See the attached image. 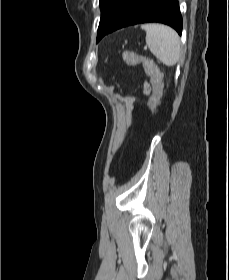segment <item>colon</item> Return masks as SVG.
<instances>
[{"label":"colon","mask_w":229,"mask_h":280,"mask_svg":"<svg viewBox=\"0 0 229 280\" xmlns=\"http://www.w3.org/2000/svg\"><path fill=\"white\" fill-rule=\"evenodd\" d=\"M124 59L128 65H146L147 71L151 77V82L153 85V91L150 96L148 106L150 110V118L155 116L159 112V108L162 101V95H163V83H162V75L158 68L150 63V61L147 60L144 56H141L135 52L132 51H126L124 53ZM146 90H149V86H146Z\"/></svg>","instance_id":"colon-1"}]
</instances>
